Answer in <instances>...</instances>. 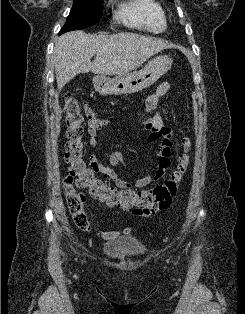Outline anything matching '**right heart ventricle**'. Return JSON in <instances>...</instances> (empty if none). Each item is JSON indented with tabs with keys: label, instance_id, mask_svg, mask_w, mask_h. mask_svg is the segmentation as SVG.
<instances>
[{
	"label": "right heart ventricle",
	"instance_id": "right-heart-ventricle-1",
	"mask_svg": "<svg viewBox=\"0 0 245 314\" xmlns=\"http://www.w3.org/2000/svg\"><path fill=\"white\" fill-rule=\"evenodd\" d=\"M116 19L125 25L153 33L165 30L167 18L158 0H123L119 3Z\"/></svg>",
	"mask_w": 245,
	"mask_h": 314
}]
</instances>
